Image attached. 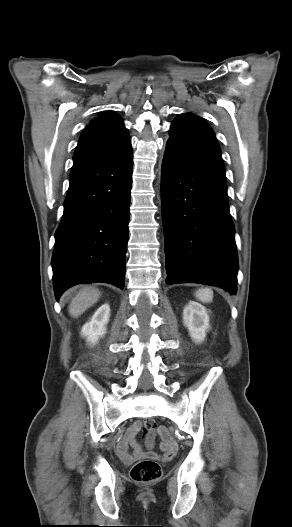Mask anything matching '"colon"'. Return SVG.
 <instances>
[{"mask_svg":"<svg viewBox=\"0 0 292 527\" xmlns=\"http://www.w3.org/2000/svg\"><path fill=\"white\" fill-rule=\"evenodd\" d=\"M154 424L152 420H146L142 423V426L145 430H153ZM130 475L136 482L151 483L161 477L162 470L158 463H154L151 459L146 458L133 465Z\"/></svg>","mask_w":292,"mask_h":527,"instance_id":"5ec220e1","label":"colon"}]
</instances>
